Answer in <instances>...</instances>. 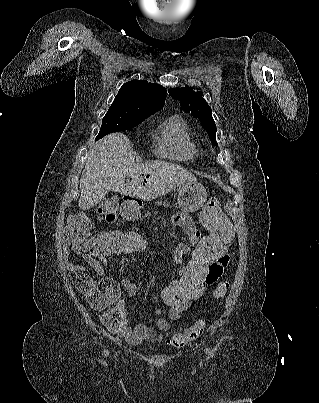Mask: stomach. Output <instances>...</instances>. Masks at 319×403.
<instances>
[{"instance_id":"obj_1","label":"stomach","mask_w":319,"mask_h":403,"mask_svg":"<svg viewBox=\"0 0 319 403\" xmlns=\"http://www.w3.org/2000/svg\"><path fill=\"white\" fill-rule=\"evenodd\" d=\"M207 199V192L202 184L197 181L185 183L178 195V205L186 212H195L200 209ZM137 213L135 217H138Z\"/></svg>"}]
</instances>
